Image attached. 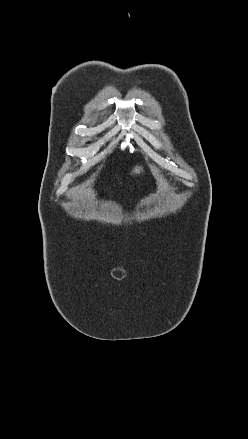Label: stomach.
<instances>
[{
	"label": "stomach",
	"instance_id": "0dacf381",
	"mask_svg": "<svg viewBox=\"0 0 248 439\" xmlns=\"http://www.w3.org/2000/svg\"><path fill=\"white\" fill-rule=\"evenodd\" d=\"M143 172H144L143 167H142V166H139V165H136V166L134 167V169L132 170L131 174L138 175V174H141V173H143Z\"/></svg>",
	"mask_w": 248,
	"mask_h": 439
}]
</instances>
